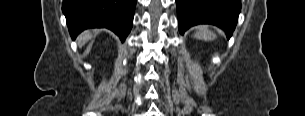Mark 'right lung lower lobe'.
<instances>
[{
    "mask_svg": "<svg viewBox=\"0 0 305 116\" xmlns=\"http://www.w3.org/2000/svg\"><path fill=\"white\" fill-rule=\"evenodd\" d=\"M136 0H63L62 11L66 17L72 39L89 28H108L121 41L129 34Z\"/></svg>",
    "mask_w": 305,
    "mask_h": 116,
    "instance_id": "obj_1",
    "label": "right lung lower lobe"
}]
</instances>
